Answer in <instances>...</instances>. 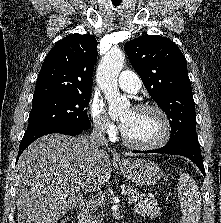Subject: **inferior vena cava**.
<instances>
[{
	"instance_id": "obj_1",
	"label": "inferior vena cava",
	"mask_w": 221,
	"mask_h": 223,
	"mask_svg": "<svg viewBox=\"0 0 221 223\" xmlns=\"http://www.w3.org/2000/svg\"><path fill=\"white\" fill-rule=\"evenodd\" d=\"M91 147L97 151L100 146H108V141L104 137V131L101 127H96L88 138Z\"/></svg>"
}]
</instances>
